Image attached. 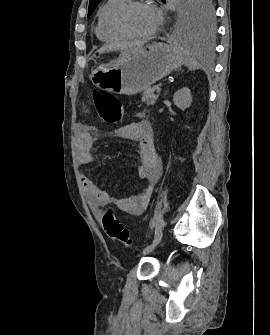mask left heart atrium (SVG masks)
<instances>
[{"instance_id": "1", "label": "left heart atrium", "mask_w": 270, "mask_h": 335, "mask_svg": "<svg viewBox=\"0 0 270 335\" xmlns=\"http://www.w3.org/2000/svg\"><path fill=\"white\" fill-rule=\"evenodd\" d=\"M149 20V28L147 32L154 31L162 22L160 13L153 7L147 6L144 8Z\"/></svg>"}]
</instances>
